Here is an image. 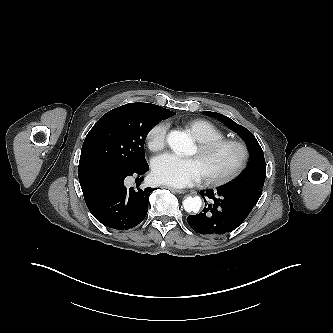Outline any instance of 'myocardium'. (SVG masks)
Returning a JSON list of instances; mask_svg holds the SVG:
<instances>
[{
    "label": "myocardium",
    "instance_id": "f54148a6",
    "mask_svg": "<svg viewBox=\"0 0 333 333\" xmlns=\"http://www.w3.org/2000/svg\"><path fill=\"white\" fill-rule=\"evenodd\" d=\"M233 148L237 152L235 164L226 173L219 176L204 175L207 184L212 186L225 185L238 177L247 166L249 160V150L247 145L238 139L222 138L219 140L199 143L198 154L208 156L220 149Z\"/></svg>",
    "mask_w": 333,
    "mask_h": 333
}]
</instances>
